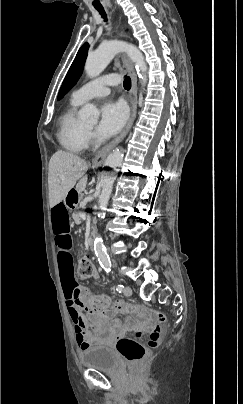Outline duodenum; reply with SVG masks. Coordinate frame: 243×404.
<instances>
[{
  "label": "duodenum",
  "instance_id": "obj_1",
  "mask_svg": "<svg viewBox=\"0 0 243 404\" xmlns=\"http://www.w3.org/2000/svg\"><path fill=\"white\" fill-rule=\"evenodd\" d=\"M80 200L79 192L74 189L70 188L66 190L63 196V201L68 209H74L78 206ZM95 237L91 235L87 240V245L90 249L94 247Z\"/></svg>",
  "mask_w": 243,
  "mask_h": 404
}]
</instances>
